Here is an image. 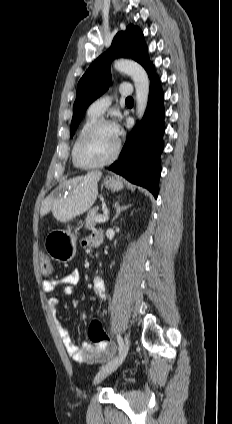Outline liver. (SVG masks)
<instances>
[{
    "mask_svg": "<svg viewBox=\"0 0 232 424\" xmlns=\"http://www.w3.org/2000/svg\"><path fill=\"white\" fill-rule=\"evenodd\" d=\"M101 176V171H91L86 175L64 181L57 193L43 200L41 216L51 211L58 221L66 223L88 211L97 198L98 181Z\"/></svg>",
    "mask_w": 232,
    "mask_h": 424,
    "instance_id": "6515ba94",
    "label": "liver"
}]
</instances>
